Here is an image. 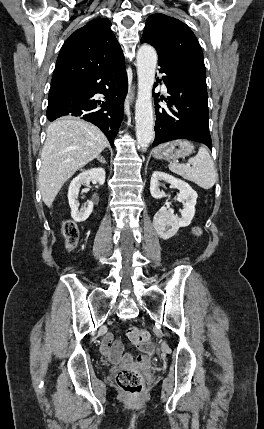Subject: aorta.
I'll use <instances>...</instances> for the list:
<instances>
[{
  "label": "aorta",
  "mask_w": 264,
  "mask_h": 429,
  "mask_svg": "<svg viewBox=\"0 0 264 429\" xmlns=\"http://www.w3.org/2000/svg\"><path fill=\"white\" fill-rule=\"evenodd\" d=\"M157 53L150 45L137 51L138 95L135 104L136 138L139 148L147 149L154 135L152 89L155 81Z\"/></svg>",
  "instance_id": "1"
}]
</instances>
